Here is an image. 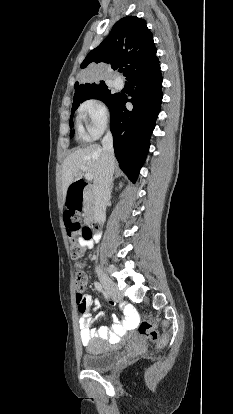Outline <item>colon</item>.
Segmentation results:
<instances>
[{
	"mask_svg": "<svg viewBox=\"0 0 233 414\" xmlns=\"http://www.w3.org/2000/svg\"><path fill=\"white\" fill-rule=\"evenodd\" d=\"M65 223L68 227L69 235L73 237L76 233L77 229L79 228L80 224V215L78 212H69L67 211L65 214ZM91 232L89 230L84 229L82 232V238L89 239ZM70 253L73 260L77 262L76 264V274H75V297L77 307L81 305L82 301L85 299L84 291L86 289L88 278L86 273L83 270V264L81 263V259L84 255V248L79 244L76 239L72 240V244L70 247ZM139 333L158 343L159 347L164 345V340L160 339L158 332L156 331L155 323L150 320H144L138 328Z\"/></svg>",
	"mask_w": 233,
	"mask_h": 414,
	"instance_id": "colon-1",
	"label": "colon"
}]
</instances>
